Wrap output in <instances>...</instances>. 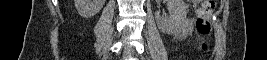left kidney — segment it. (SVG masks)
Returning <instances> with one entry per match:
<instances>
[{
  "label": "left kidney",
  "instance_id": "5707ae66",
  "mask_svg": "<svg viewBox=\"0 0 267 60\" xmlns=\"http://www.w3.org/2000/svg\"><path fill=\"white\" fill-rule=\"evenodd\" d=\"M169 15H155L158 28L164 33H175L185 21L188 6L183 0H167Z\"/></svg>",
  "mask_w": 267,
  "mask_h": 60
}]
</instances>
